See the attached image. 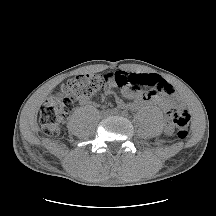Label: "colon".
<instances>
[{
  "instance_id": "1",
  "label": "colon",
  "mask_w": 216,
  "mask_h": 216,
  "mask_svg": "<svg viewBox=\"0 0 216 216\" xmlns=\"http://www.w3.org/2000/svg\"><path fill=\"white\" fill-rule=\"evenodd\" d=\"M122 72L102 75H81L64 83L58 91L51 95L43 104L40 111V123L44 133L55 136L59 133L64 118L80 101L92 100L99 93L117 84ZM120 86V85H119ZM169 117L176 127L178 138L185 139L189 133L190 114L184 107L169 110Z\"/></svg>"
}]
</instances>
